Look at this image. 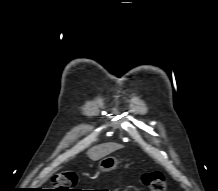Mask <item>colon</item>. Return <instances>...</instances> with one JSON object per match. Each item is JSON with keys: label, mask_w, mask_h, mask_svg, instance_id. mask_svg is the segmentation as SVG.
<instances>
[{"label": "colon", "mask_w": 218, "mask_h": 191, "mask_svg": "<svg viewBox=\"0 0 218 191\" xmlns=\"http://www.w3.org/2000/svg\"><path fill=\"white\" fill-rule=\"evenodd\" d=\"M56 191H79L75 189L77 175L72 171H65L55 176ZM142 182L148 191H166L164 175L158 171L146 172L142 175Z\"/></svg>", "instance_id": "5ec220e1"}]
</instances>
